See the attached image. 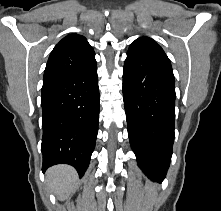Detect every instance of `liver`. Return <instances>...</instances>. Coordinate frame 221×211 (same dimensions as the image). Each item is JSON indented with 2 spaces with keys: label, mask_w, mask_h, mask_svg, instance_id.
<instances>
[{
  "label": "liver",
  "mask_w": 221,
  "mask_h": 211,
  "mask_svg": "<svg viewBox=\"0 0 221 211\" xmlns=\"http://www.w3.org/2000/svg\"><path fill=\"white\" fill-rule=\"evenodd\" d=\"M77 181V172L69 165H56L46 172L47 186L60 200H65L74 191Z\"/></svg>",
  "instance_id": "obj_1"
}]
</instances>
